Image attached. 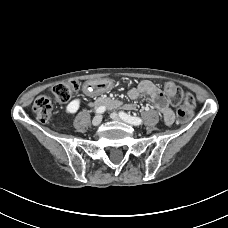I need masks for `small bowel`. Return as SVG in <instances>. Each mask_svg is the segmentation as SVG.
Segmentation results:
<instances>
[{
  "label": "small bowel",
  "mask_w": 228,
  "mask_h": 228,
  "mask_svg": "<svg viewBox=\"0 0 228 228\" xmlns=\"http://www.w3.org/2000/svg\"><path fill=\"white\" fill-rule=\"evenodd\" d=\"M109 88V83L102 82L94 85H88L85 87V91L88 93H99L103 90ZM127 95L130 99H137L140 96L146 95L149 96L153 101L159 112L162 114L165 124L172 125L174 122V112L170 106L169 100L165 97V95L157 88L151 81L144 80L140 82L137 86L132 87L128 90ZM103 98L97 99L95 102L91 103L92 106H100L105 105L100 102ZM107 106V105H105ZM108 107V106H107ZM126 110L135 109L134 104H126L123 106Z\"/></svg>",
  "instance_id": "obj_1"
}]
</instances>
